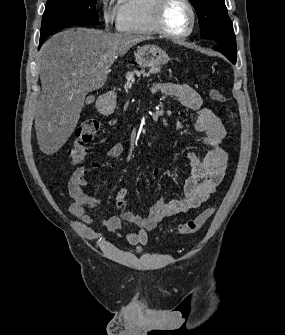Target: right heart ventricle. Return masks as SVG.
<instances>
[{
	"instance_id": "right-heart-ventricle-1",
	"label": "right heart ventricle",
	"mask_w": 285,
	"mask_h": 335,
	"mask_svg": "<svg viewBox=\"0 0 285 335\" xmlns=\"http://www.w3.org/2000/svg\"><path fill=\"white\" fill-rule=\"evenodd\" d=\"M132 16L122 26L138 36L161 35L156 22L158 1H130Z\"/></svg>"
}]
</instances>
